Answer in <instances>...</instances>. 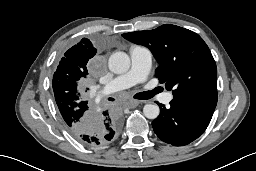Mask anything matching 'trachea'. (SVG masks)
<instances>
[{
    "label": "trachea",
    "mask_w": 256,
    "mask_h": 171,
    "mask_svg": "<svg viewBox=\"0 0 256 171\" xmlns=\"http://www.w3.org/2000/svg\"><path fill=\"white\" fill-rule=\"evenodd\" d=\"M162 89L160 87H157L155 88L154 90L152 91H146V92H140V93H137L134 98L136 99H141V100H146V99H150L152 98L154 95L158 94L159 92H161ZM108 100H111L113 101L112 98H109Z\"/></svg>",
    "instance_id": "3493384b"
}]
</instances>
